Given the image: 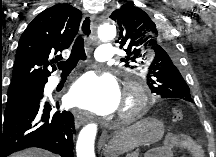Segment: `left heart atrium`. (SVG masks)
Wrapping results in <instances>:
<instances>
[{
  "label": "left heart atrium",
  "instance_id": "1",
  "mask_svg": "<svg viewBox=\"0 0 216 157\" xmlns=\"http://www.w3.org/2000/svg\"><path fill=\"white\" fill-rule=\"evenodd\" d=\"M66 101L69 106L105 115L118 108L121 95L112 77L88 73L72 85Z\"/></svg>",
  "mask_w": 216,
  "mask_h": 157
}]
</instances>
